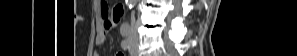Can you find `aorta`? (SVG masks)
I'll list each match as a JSON object with an SVG mask.
<instances>
[{
    "label": "aorta",
    "instance_id": "obj_1",
    "mask_svg": "<svg viewBox=\"0 0 297 56\" xmlns=\"http://www.w3.org/2000/svg\"><path fill=\"white\" fill-rule=\"evenodd\" d=\"M127 1H128V4H129L130 6H132L133 3L135 2V0H127Z\"/></svg>",
    "mask_w": 297,
    "mask_h": 56
}]
</instances>
